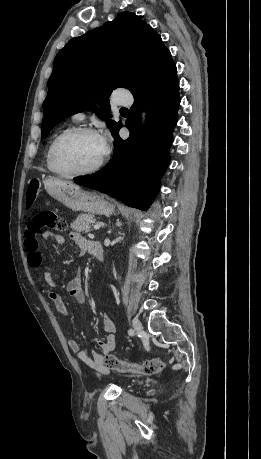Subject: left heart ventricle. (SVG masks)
<instances>
[{
  "label": "left heart ventricle",
  "mask_w": 261,
  "mask_h": 459,
  "mask_svg": "<svg viewBox=\"0 0 261 459\" xmlns=\"http://www.w3.org/2000/svg\"><path fill=\"white\" fill-rule=\"evenodd\" d=\"M100 138L81 134L65 139L56 152V165L65 172H74L93 166L104 154Z\"/></svg>",
  "instance_id": "1"
}]
</instances>
